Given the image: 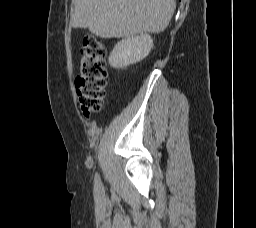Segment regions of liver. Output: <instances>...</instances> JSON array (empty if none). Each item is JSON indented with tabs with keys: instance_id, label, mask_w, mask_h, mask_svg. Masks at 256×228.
<instances>
[{
	"instance_id": "6515ba94",
	"label": "liver",
	"mask_w": 256,
	"mask_h": 228,
	"mask_svg": "<svg viewBox=\"0 0 256 228\" xmlns=\"http://www.w3.org/2000/svg\"><path fill=\"white\" fill-rule=\"evenodd\" d=\"M70 24L100 38L160 33L168 26L175 0H73Z\"/></svg>"
}]
</instances>
